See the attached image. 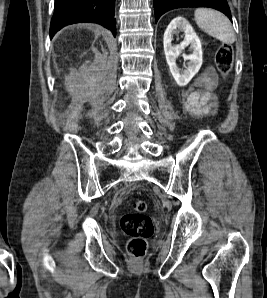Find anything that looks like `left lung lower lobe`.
Here are the masks:
<instances>
[{
	"label": "left lung lower lobe",
	"mask_w": 267,
	"mask_h": 298,
	"mask_svg": "<svg viewBox=\"0 0 267 298\" xmlns=\"http://www.w3.org/2000/svg\"><path fill=\"white\" fill-rule=\"evenodd\" d=\"M155 21L165 12L183 7H210L223 12L231 21L230 10L226 0H153Z\"/></svg>",
	"instance_id": "obj_1"
}]
</instances>
